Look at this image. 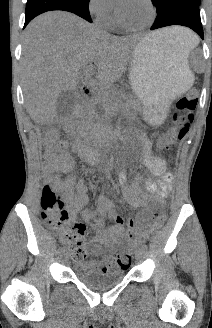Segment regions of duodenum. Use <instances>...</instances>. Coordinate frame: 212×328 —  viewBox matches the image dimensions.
I'll list each match as a JSON object with an SVG mask.
<instances>
[{
  "label": "duodenum",
  "instance_id": "obj_1",
  "mask_svg": "<svg viewBox=\"0 0 212 328\" xmlns=\"http://www.w3.org/2000/svg\"><path fill=\"white\" fill-rule=\"evenodd\" d=\"M81 92H82L83 97H85V98H91L93 96V92L88 86H83L81 88ZM78 111H79L78 108L75 109L71 113V115L65 120L64 126H65L66 130L71 131L73 129L72 122H73L76 114L78 113ZM74 144H75L74 151L76 153H78V155H80L81 157L86 158L90 161L98 160V154L94 150V148H92L91 146H88L86 144L80 143V142H76Z\"/></svg>",
  "mask_w": 212,
  "mask_h": 328
}]
</instances>
